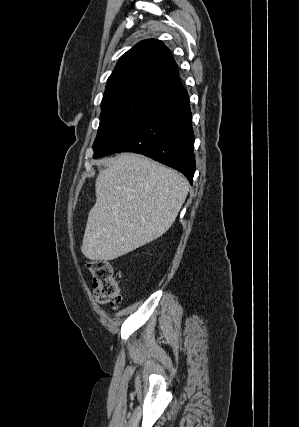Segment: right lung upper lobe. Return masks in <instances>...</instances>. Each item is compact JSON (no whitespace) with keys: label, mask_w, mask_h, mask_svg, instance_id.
<instances>
[{"label":"right lung upper lobe","mask_w":299,"mask_h":427,"mask_svg":"<svg viewBox=\"0 0 299 427\" xmlns=\"http://www.w3.org/2000/svg\"><path fill=\"white\" fill-rule=\"evenodd\" d=\"M182 87L169 49L159 40L147 39L121 56L107 80L102 101L122 96L156 101Z\"/></svg>","instance_id":"right-lung-upper-lobe-1"}]
</instances>
